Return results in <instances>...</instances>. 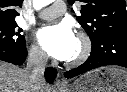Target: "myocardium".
Wrapping results in <instances>:
<instances>
[{"label": "myocardium", "mask_w": 127, "mask_h": 92, "mask_svg": "<svg viewBox=\"0 0 127 92\" xmlns=\"http://www.w3.org/2000/svg\"><path fill=\"white\" fill-rule=\"evenodd\" d=\"M77 41L80 45V49L78 54L69 59L66 62L67 66L74 67L82 64L84 61L87 60V58L90 56L91 50H92V43L87 34L84 32H79L77 34Z\"/></svg>", "instance_id": "obj_1"}]
</instances>
